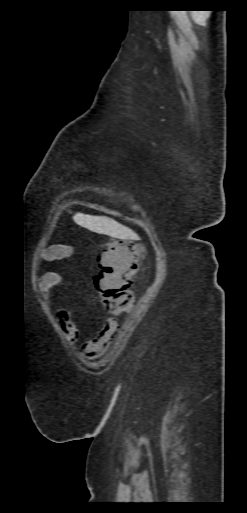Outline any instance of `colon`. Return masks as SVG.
Masks as SVG:
<instances>
[{
  "mask_svg": "<svg viewBox=\"0 0 247 513\" xmlns=\"http://www.w3.org/2000/svg\"><path fill=\"white\" fill-rule=\"evenodd\" d=\"M139 260L138 245L131 241H113L101 251L94 283L106 311L121 313L132 305V284Z\"/></svg>",
  "mask_w": 247,
  "mask_h": 513,
  "instance_id": "obj_1",
  "label": "colon"
}]
</instances>
